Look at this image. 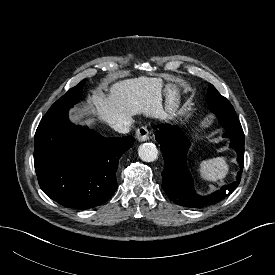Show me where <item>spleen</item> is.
I'll return each mask as SVG.
<instances>
[{
    "instance_id": "obj_1",
    "label": "spleen",
    "mask_w": 275,
    "mask_h": 275,
    "mask_svg": "<svg viewBox=\"0 0 275 275\" xmlns=\"http://www.w3.org/2000/svg\"><path fill=\"white\" fill-rule=\"evenodd\" d=\"M197 170L202 179L216 182L225 178L229 167L225 161V158L218 157L201 161Z\"/></svg>"
}]
</instances>
